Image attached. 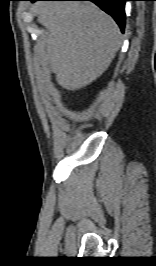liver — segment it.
Listing matches in <instances>:
<instances>
[{
	"mask_svg": "<svg viewBox=\"0 0 156 266\" xmlns=\"http://www.w3.org/2000/svg\"><path fill=\"white\" fill-rule=\"evenodd\" d=\"M38 21L47 29L41 54L63 88L75 91L109 67L121 46L115 21L90 2H41Z\"/></svg>",
	"mask_w": 156,
	"mask_h": 266,
	"instance_id": "liver-1",
	"label": "liver"
}]
</instances>
